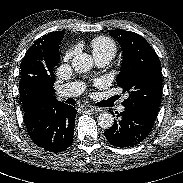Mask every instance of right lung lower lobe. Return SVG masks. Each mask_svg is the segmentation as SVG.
I'll list each match as a JSON object with an SVG mask.
<instances>
[{"instance_id": "obj_1", "label": "right lung lower lobe", "mask_w": 183, "mask_h": 183, "mask_svg": "<svg viewBox=\"0 0 183 183\" xmlns=\"http://www.w3.org/2000/svg\"><path fill=\"white\" fill-rule=\"evenodd\" d=\"M76 109L55 100H43L24 109V123L33 142L49 151L61 152L73 140Z\"/></svg>"}]
</instances>
